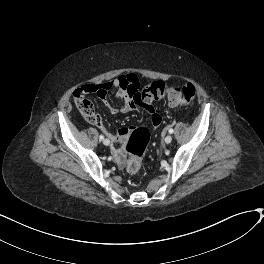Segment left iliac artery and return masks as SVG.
Masks as SVG:
<instances>
[{
  "instance_id": "44dca946",
  "label": "left iliac artery",
  "mask_w": 264,
  "mask_h": 264,
  "mask_svg": "<svg viewBox=\"0 0 264 264\" xmlns=\"http://www.w3.org/2000/svg\"><path fill=\"white\" fill-rule=\"evenodd\" d=\"M174 132L173 129H169V133L172 134Z\"/></svg>"
}]
</instances>
